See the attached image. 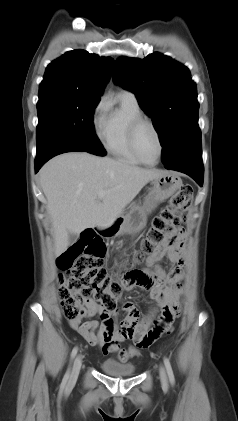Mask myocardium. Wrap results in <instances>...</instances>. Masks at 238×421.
Returning <instances> with one entry per match:
<instances>
[{"instance_id": "myocardium-1", "label": "myocardium", "mask_w": 238, "mask_h": 421, "mask_svg": "<svg viewBox=\"0 0 238 421\" xmlns=\"http://www.w3.org/2000/svg\"><path fill=\"white\" fill-rule=\"evenodd\" d=\"M144 123H147L152 127V129L154 130V132L156 134L158 144H159L158 157L154 162H151V163L145 161L142 158V156L140 155V153L138 151V148H137V133H138V130H139L140 126ZM129 143H130V147H131V150H132L133 154L142 164L147 165V166H154V165L159 163V161L162 157L163 151H164V145H163L161 133H160L157 125L155 124V122L150 117L140 115V116L136 117L131 122L130 127H129Z\"/></svg>"}]
</instances>
